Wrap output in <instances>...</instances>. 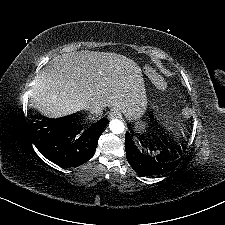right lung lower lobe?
<instances>
[{
    "label": "right lung lower lobe",
    "mask_w": 225,
    "mask_h": 225,
    "mask_svg": "<svg viewBox=\"0 0 225 225\" xmlns=\"http://www.w3.org/2000/svg\"><path fill=\"white\" fill-rule=\"evenodd\" d=\"M73 120L72 117L45 118L37 123H33L37 120H32L28 126L30 137L39 152L62 167H76L87 162L94 155L98 139L108 123V119L103 117L72 140L77 134Z\"/></svg>",
    "instance_id": "obj_1"
}]
</instances>
